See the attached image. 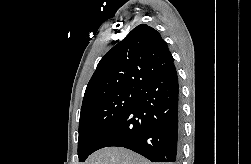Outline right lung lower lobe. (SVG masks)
I'll return each instance as SVG.
<instances>
[{
  "mask_svg": "<svg viewBox=\"0 0 251 164\" xmlns=\"http://www.w3.org/2000/svg\"><path fill=\"white\" fill-rule=\"evenodd\" d=\"M182 120L175 66L138 88V97L96 144L94 151L124 147L152 162H176L180 157Z\"/></svg>",
  "mask_w": 251,
  "mask_h": 164,
  "instance_id": "right-lung-lower-lobe-1",
  "label": "right lung lower lobe"
}]
</instances>
